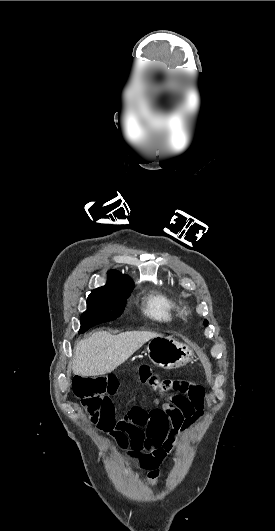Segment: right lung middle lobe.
<instances>
[{
    "label": "right lung middle lobe",
    "mask_w": 275,
    "mask_h": 531,
    "mask_svg": "<svg viewBox=\"0 0 275 531\" xmlns=\"http://www.w3.org/2000/svg\"><path fill=\"white\" fill-rule=\"evenodd\" d=\"M133 284L124 287L103 286L91 291L87 298V310L81 315L79 333L90 327L116 319L124 310L126 299Z\"/></svg>",
    "instance_id": "dd1d6c3e"
}]
</instances>
